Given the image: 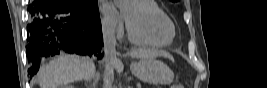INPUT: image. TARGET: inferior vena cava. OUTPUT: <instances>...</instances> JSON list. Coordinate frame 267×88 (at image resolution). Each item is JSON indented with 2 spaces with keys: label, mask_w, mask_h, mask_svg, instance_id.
<instances>
[{
  "label": "inferior vena cava",
  "mask_w": 267,
  "mask_h": 88,
  "mask_svg": "<svg viewBox=\"0 0 267 88\" xmlns=\"http://www.w3.org/2000/svg\"><path fill=\"white\" fill-rule=\"evenodd\" d=\"M103 43H104V62H105V72H104V88H112V82L114 79V62L116 61V39H115V28L110 24H103Z\"/></svg>",
  "instance_id": "obj_1"
}]
</instances>
